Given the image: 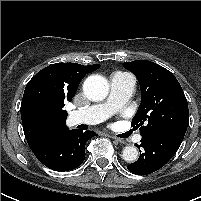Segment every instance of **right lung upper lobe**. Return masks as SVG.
<instances>
[{
	"label": "right lung upper lobe",
	"instance_id": "1",
	"mask_svg": "<svg viewBox=\"0 0 201 201\" xmlns=\"http://www.w3.org/2000/svg\"><path fill=\"white\" fill-rule=\"evenodd\" d=\"M99 67V64H51L28 82L21 103V118L31 150L69 130L65 124L67 113L63 110L64 102L71 101L84 76ZM42 94H47L55 105L48 109L36 108L33 99Z\"/></svg>",
	"mask_w": 201,
	"mask_h": 201
}]
</instances>
